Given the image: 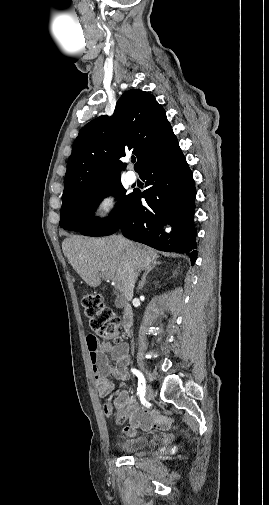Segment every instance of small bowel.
Returning a JSON list of instances; mask_svg holds the SVG:
<instances>
[{"label":"small bowel","instance_id":"obj_1","mask_svg":"<svg viewBox=\"0 0 269 505\" xmlns=\"http://www.w3.org/2000/svg\"><path fill=\"white\" fill-rule=\"evenodd\" d=\"M87 348L92 363L96 388L100 396L114 394V407L129 421L123 428V433L133 437L137 434V429L149 430L157 428L166 430L171 425V419L166 416H159L155 411H147L138 407L126 390H114L111 378L128 380L129 348L126 344L113 345L110 341H99L87 336ZM110 355L114 361L112 366L107 356ZM112 407L105 405V413L110 414Z\"/></svg>","mask_w":269,"mask_h":505}]
</instances>
